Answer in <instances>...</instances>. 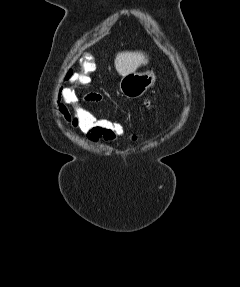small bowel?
Here are the masks:
<instances>
[{
    "instance_id": "small-bowel-1",
    "label": "small bowel",
    "mask_w": 240,
    "mask_h": 287,
    "mask_svg": "<svg viewBox=\"0 0 240 287\" xmlns=\"http://www.w3.org/2000/svg\"><path fill=\"white\" fill-rule=\"evenodd\" d=\"M104 100H105V96L99 92H91V93H88L85 95L86 103H100ZM145 104L148 108H151L150 101L146 100ZM55 107H56L57 116L61 120L65 121L70 126L75 128V125L71 122L70 118L67 115L66 109L64 107V104H63L58 92H57L56 97H55ZM86 136H87L88 141L92 144H95V145L100 143V141H102V140H104V141H114L115 140L113 138H104V137L98 136V135H86Z\"/></svg>"
}]
</instances>
